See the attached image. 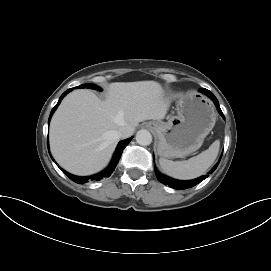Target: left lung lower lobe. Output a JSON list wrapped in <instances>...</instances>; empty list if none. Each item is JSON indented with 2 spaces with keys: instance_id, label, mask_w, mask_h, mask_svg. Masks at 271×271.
Masks as SVG:
<instances>
[{
  "instance_id": "obj_1",
  "label": "left lung lower lobe",
  "mask_w": 271,
  "mask_h": 271,
  "mask_svg": "<svg viewBox=\"0 0 271 271\" xmlns=\"http://www.w3.org/2000/svg\"><path fill=\"white\" fill-rule=\"evenodd\" d=\"M200 91L203 92L204 94H206L208 97H210V98L214 101V103H215V105H216L218 111H219L220 114L224 117V115H223V113H222V111H221V109H220L219 102H218V100L216 99V97L214 96V94H213L212 92H210L209 90H207V89H200ZM220 158H221V157H220ZM219 162H220V160H219L218 163L210 170V172H209L208 174L212 173V172L217 168ZM154 170H155V173H156V176H157L158 180H159L161 183L166 184V185H169L170 187H172V188H174V189H179V190L191 188V187L195 186L196 184H198L199 182L203 181L205 178L208 177V175H203V176H201V177H199V178H196V179H194V180H189V181H179V180H175V179H172V178H170V177H167V176L161 174V173L158 172L156 169H154Z\"/></svg>"
}]
</instances>
